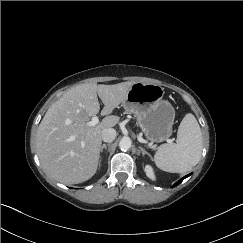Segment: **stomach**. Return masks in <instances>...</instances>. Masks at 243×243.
Masks as SVG:
<instances>
[{"mask_svg": "<svg viewBox=\"0 0 243 243\" xmlns=\"http://www.w3.org/2000/svg\"><path fill=\"white\" fill-rule=\"evenodd\" d=\"M163 96L162 86L135 82L122 102L124 109L136 118L147 140L153 143L165 141L173 132L175 110Z\"/></svg>", "mask_w": 243, "mask_h": 243, "instance_id": "1", "label": "stomach"}]
</instances>
